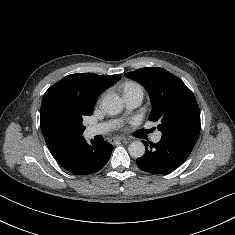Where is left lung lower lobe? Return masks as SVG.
I'll use <instances>...</instances> for the list:
<instances>
[{
	"instance_id": "obj_1",
	"label": "left lung lower lobe",
	"mask_w": 235,
	"mask_h": 235,
	"mask_svg": "<svg viewBox=\"0 0 235 235\" xmlns=\"http://www.w3.org/2000/svg\"><path fill=\"white\" fill-rule=\"evenodd\" d=\"M146 152L136 160L137 165L146 172L164 174L178 168L190 155L195 143L181 140L161 138L158 143L143 142Z\"/></svg>"
}]
</instances>
